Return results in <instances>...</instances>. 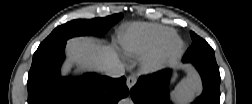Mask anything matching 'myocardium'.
<instances>
[{
    "instance_id": "1",
    "label": "myocardium",
    "mask_w": 252,
    "mask_h": 104,
    "mask_svg": "<svg viewBox=\"0 0 252 104\" xmlns=\"http://www.w3.org/2000/svg\"><path fill=\"white\" fill-rule=\"evenodd\" d=\"M184 51V43L175 36L159 49L149 53L144 57L141 63V69L145 73L153 72L164 62L179 57Z\"/></svg>"
}]
</instances>
